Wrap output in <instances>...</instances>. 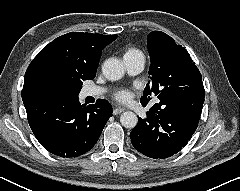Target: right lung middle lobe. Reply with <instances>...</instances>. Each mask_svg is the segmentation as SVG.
Here are the masks:
<instances>
[{"instance_id":"right-lung-middle-lobe-1","label":"right lung middle lobe","mask_w":240,"mask_h":191,"mask_svg":"<svg viewBox=\"0 0 240 191\" xmlns=\"http://www.w3.org/2000/svg\"><path fill=\"white\" fill-rule=\"evenodd\" d=\"M82 88V82L68 84L63 82H52L46 89L44 96L74 98Z\"/></svg>"}]
</instances>
